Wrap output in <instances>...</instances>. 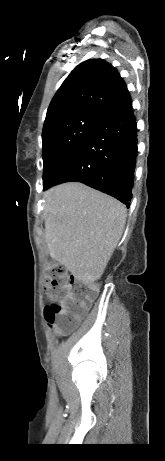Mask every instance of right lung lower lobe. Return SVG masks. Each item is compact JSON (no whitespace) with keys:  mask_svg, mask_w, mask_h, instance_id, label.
I'll use <instances>...</instances> for the list:
<instances>
[{"mask_svg":"<svg viewBox=\"0 0 165 461\" xmlns=\"http://www.w3.org/2000/svg\"><path fill=\"white\" fill-rule=\"evenodd\" d=\"M136 125L132 104L103 119L43 190L63 182H82L129 208L138 155Z\"/></svg>","mask_w":165,"mask_h":461,"instance_id":"1","label":"right lung lower lobe"}]
</instances>
